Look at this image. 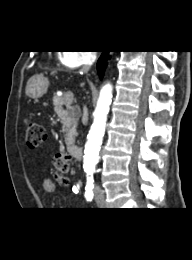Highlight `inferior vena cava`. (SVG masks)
<instances>
[{"instance_id":"602c4592","label":"inferior vena cava","mask_w":192,"mask_h":260,"mask_svg":"<svg viewBox=\"0 0 192 260\" xmlns=\"http://www.w3.org/2000/svg\"><path fill=\"white\" fill-rule=\"evenodd\" d=\"M95 59H96V53L92 52L88 56V58L86 60V63H85V65L82 68V71L87 72L90 69L91 65L94 63Z\"/></svg>"}]
</instances>
